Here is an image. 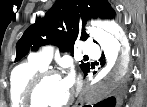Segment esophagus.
Wrapping results in <instances>:
<instances>
[{
	"instance_id": "obj_1",
	"label": "esophagus",
	"mask_w": 147,
	"mask_h": 107,
	"mask_svg": "<svg viewBox=\"0 0 147 107\" xmlns=\"http://www.w3.org/2000/svg\"><path fill=\"white\" fill-rule=\"evenodd\" d=\"M85 90H86V86H85V87L83 88V90H82V95L84 94ZM78 102H80V103L82 104L83 98L81 97L80 100H79Z\"/></svg>"
}]
</instances>
